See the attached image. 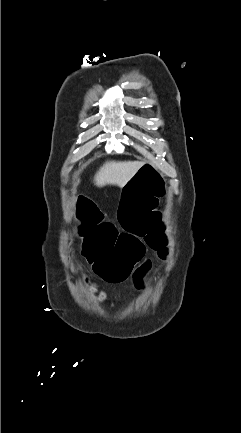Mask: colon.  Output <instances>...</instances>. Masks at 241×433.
I'll return each mask as SVG.
<instances>
[{
    "label": "colon",
    "mask_w": 241,
    "mask_h": 433,
    "mask_svg": "<svg viewBox=\"0 0 241 433\" xmlns=\"http://www.w3.org/2000/svg\"><path fill=\"white\" fill-rule=\"evenodd\" d=\"M154 164L150 159L146 164L137 165L136 172L121 188L117 207L123 230H118L111 220H105V212H99L91 197H85L83 192L75 193V200L82 209L76 207L74 212L78 221H84L77 228L79 234H84L79 237L82 255L91 270L100 272L107 282L125 281L140 262L136 275L146 277L149 274L151 263L144 260L145 246L139 237L157 250L160 258L166 257L165 246L169 245V240L161 236V226H168L170 220L161 214L158 201L169 194L171 184L162 181V173ZM69 264L75 266L77 261L71 259ZM78 286L84 288L86 283L80 281Z\"/></svg>",
    "instance_id": "colon-1"
}]
</instances>
